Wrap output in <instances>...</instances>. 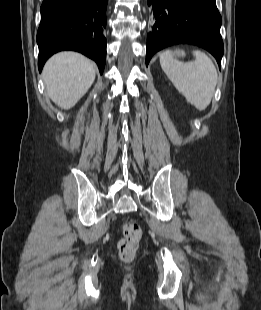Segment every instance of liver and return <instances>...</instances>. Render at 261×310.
I'll list each match as a JSON object with an SVG mask.
<instances>
[{
  "mask_svg": "<svg viewBox=\"0 0 261 310\" xmlns=\"http://www.w3.org/2000/svg\"><path fill=\"white\" fill-rule=\"evenodd\" d=\"M95 64L75 52H62L44 66L43 80L51 100L70 109L85 95L95 80Z\"/></svg>",
  "mask_w": 261,
  "mask_h": 310,
  "instance_id": "obj_1",
  "label": "liver"
}]
</instances>
